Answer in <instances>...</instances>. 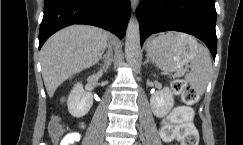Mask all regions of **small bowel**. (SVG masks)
Segmentation results:
<instances>
[{"label":"small bowel","instance_id":"1","mask_svg":"<svg viewBox=\"0 0 243 145\" xmlns=\"http://www.w3.org/2000/svg\"><path fill=\"white\" fill-rule=\"evenodd\" d=\"M81 138L79 132H70L64 136L60 145H74L77 143Z\"/></svg>","mask_w":243,"mask_h":145}]
</instances>
